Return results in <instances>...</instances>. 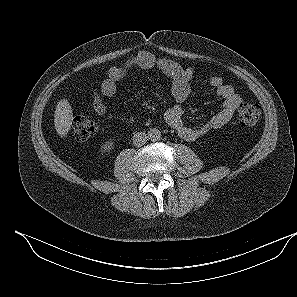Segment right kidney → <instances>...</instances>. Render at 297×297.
Wrapping results in <instances>:
<instances>
[{
	"label": "right kidney",
	"mask_w": 297,
	"mask_h": 297,
	"mask_svg": "<svg viewBox=\"0 0 297 297\" xmlns=\"http://www.w3.org/2000/svg\"><path fill=\"white\" fill-rule=\"evenodd\" d=\"M114 148V142L112 139H109L101 146V153L111 152V150Z\"/></svg>",
	"instance_id": "obj_1"
}]
</instances>
